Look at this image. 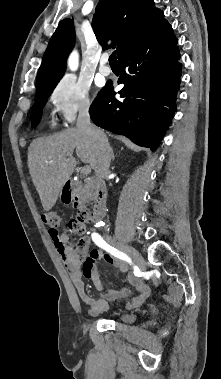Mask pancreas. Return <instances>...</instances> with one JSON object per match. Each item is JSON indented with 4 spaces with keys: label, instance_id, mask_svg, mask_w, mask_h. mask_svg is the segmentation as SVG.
I'll return each instance as SVG.
<instances>
[{
    "label": "pancreas",
    "instance_id": "1",
    "mask_svg": "<svg viewBox=\"0 0 221 379\" xmlns=\"http://www.w3.org/2000/svg\"><path fill=\"white\" fill-rule=\"evenodd\" d=\"M82 193L85 195V196H90L92 194V189H91V184L88 183V185L86 186V188H84L82 190Z\"/></svg>",
    "mask_w": 221,
    "mask_h": 379
}]
</instances>
